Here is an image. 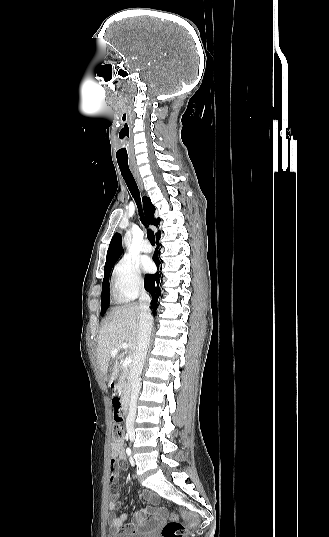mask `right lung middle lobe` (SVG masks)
Segmentation results:
<instances>
[{
  "mask_svg": "<svg viewBox=\"0 0 329 537\" xmlns=\"http://www.w3.org/2000/svg\"><path fill=\"white\" fill-rule=\"evenodd\" d=\"M114 264L110 265L104 271V279L102 283V302H101V313L104 314L109 306V276Z\"/></svg>",
  "mask_w": 329,
  "mask_h": 537,
  "instance_id": "obj_1",
  "label": "right lung middle lobe"
}]
</instances>
